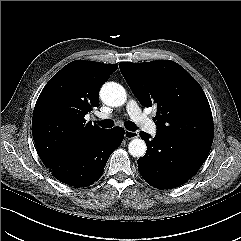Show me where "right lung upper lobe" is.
I'll return each mask as SVG.
<instances>
[{
    "mask_svg": "<svg viewBox=\"0 0 241 241\" xmlns=\"http://www.w3.org/2000/svg\"><path fill=\"white\" fill-rule=\"evenodd\" d=\"M116 64L76 60L57 72L43 88L34 108L32 134L39 157L85 143L103 128L86 123L84 116L99 106L100 87Z\"/></svg>",
    "mask_w": 241,
    "mask_h": 241,
    "instance_id": "right-lung-upper-lobe-1",
    "label": "right lung upper lobe"
}]
</instances>
